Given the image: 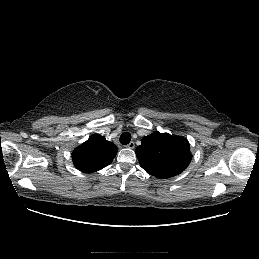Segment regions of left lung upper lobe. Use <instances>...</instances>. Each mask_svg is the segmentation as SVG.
Returning <instances> with one entry per match:
<instances>
[{
  "mask_svg": "<svg viewBox=\"0 0 259 259\" xmlns=\"http://www.w3.org/2000/svg\"><path fill=\"white\" fill-rule=\"evenodd\" d=\"M135 153L141 167L158 178H170L180 174L192 159L187 139L158 131L143 137Z\"/></svg>",
  "mask_w": 259,
  "mask_h": 259,
  "instance_id": "left-lung-upper-lobe-1",
  "label": "left lung upper lobe"
}]
</instances>
